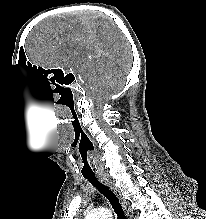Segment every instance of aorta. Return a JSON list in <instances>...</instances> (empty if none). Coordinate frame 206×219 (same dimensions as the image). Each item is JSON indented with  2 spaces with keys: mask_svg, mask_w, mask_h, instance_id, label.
<instances>
[{
  "mask_svg": "<svg viewBox=\"0 0 206 219\" xmlns=\"http://www.w3.org/2000/svg\"><path fill=\"white\" fill-rule=\"evenodd\" d=\"M85 219H112V214L107 209L91 211Z\"/></svg>",
  "mask_w": 206,
  "mask_h": 219,
  "instance_id": "762f6f07",
  "label": "aorta"
}]
</instances>
